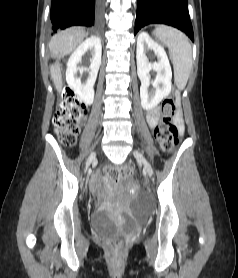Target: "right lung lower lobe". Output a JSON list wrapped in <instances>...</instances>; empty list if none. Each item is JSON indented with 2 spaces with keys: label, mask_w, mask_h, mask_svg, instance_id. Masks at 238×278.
I'll use <instances>...</instances> for the list:
<instances>
[{
  "label": "right lung lower lobe",
  "mask_w": 238,
  "mask_h": 278,
  "mask_svg": "<svg viewBox=\"0 0 238 278\" xmlns=\"http://www.w3.org/2000/svg\"><path fill=\"white\" fill-rule=\"evenodd\" d=\"M103 0H52L53 31L70 26H93L101 19Z\"/></svg>",
  "instance_id": "1"
}]
</instances>
